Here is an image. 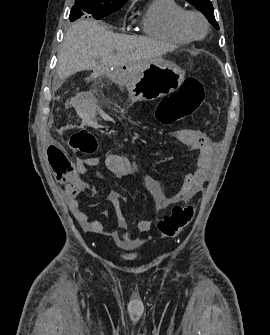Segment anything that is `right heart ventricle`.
I'll list each match as a JSON object with an SVG mask.
<instances>
[{"mask_svg": "<svg viewBox=\"0 0 270 335\" xmlns=\"http://www.w3.org/2000/svg\"><path fill=\"white\" fill-rule=\"evenodd\" d=\"M183 12L184 7L176 0H153L141 17V28L156 39L180 45L190 43L192 40L178 26Z\"/></svg>", "mask_w": 270, "mask_h": 335, "instance_id": "obj_1", "label": "right heart ventricle"}]
</instances>
